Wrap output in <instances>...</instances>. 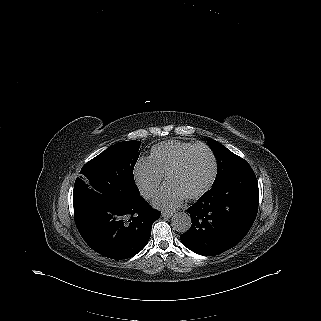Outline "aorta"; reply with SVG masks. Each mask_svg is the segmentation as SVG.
<instances>
[{
    "mask_svg": "<svg viewBox=\"0 0 321 321\" xmlns=\"http://www.w3.org/2000/svg\"><path fill=\"white\" fill-rule=\"evenodd\" d=\"M192 225V220L189 214L184 212L175 213L172 217V227L179 233L187 232Z\"/></svg>",
    "mask_w": 321,
    "mask_h": 321,
    "instance_id": "obj_1",
    "label": "aorta"
}]
</instances>
